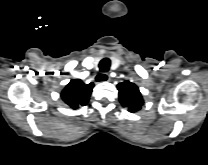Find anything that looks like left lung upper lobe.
Segmentation results:
<instances>
[{"mask_svg":"<svg viewBox=\"0 0 208 165\" xmlns=\"http://www.w3.org/2000/svg\"><path fill=\"white\" fill-rule=\"evenodd\" d=\"M119 101L128 109L129 112H137L141 109L144 101L139 91V88L129 81L119 83Z\"/></svg>","mask_w":208,"mask_h":165,"instance_id":"left-lung-upper-lobe-1","label":"left lung upper lobe"}]
</instances>
